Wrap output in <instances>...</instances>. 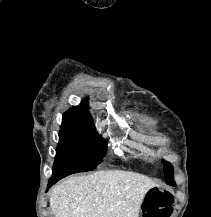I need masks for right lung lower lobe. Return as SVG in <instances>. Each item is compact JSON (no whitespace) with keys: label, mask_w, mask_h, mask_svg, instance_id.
I'll list each match as a JSON object with an SVG mask.
<instances>
[{"label":"right lung lower lobe","mask_w":211,"mask_h":217,"mask_svg":"<svg viewBox=\"0 0 211 217\" xmlns=\"http://www.w3.org/2000/svg\"><path fill=\"white\" fill-rule=\"evenodd\" d=\"M58 180L60 179H50L48 183V188H50L52 185H54Z\"/></svg>","instance_id":"right-lung-lower-lobe-1"}]
</instances>
